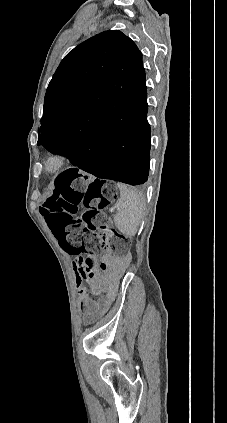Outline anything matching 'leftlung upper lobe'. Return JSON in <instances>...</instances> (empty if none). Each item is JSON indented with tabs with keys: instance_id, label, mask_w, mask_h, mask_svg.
I'll return each mask as SVG.
<instances>
[{
	"instance_id": "left-lung-upper-lobe-1",
	"label": "left lung upper lobe",
	"mask_w": 227,
	"mask_h": 423,
	"mask_svg": "<svg viewBox=\"0 0 227 423\" xmlns=\"http://www.w3.org/2000/svg\"><path fill=\"white\" fill-rule=\"evenodd\" d=\"M142 54L118 30L84 41L61 61L44 99L38 145L83 135L108 112L147 109Z\"/></svg>"
}]
</instances>
